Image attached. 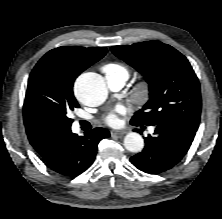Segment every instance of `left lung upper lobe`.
I'll use <instances>...</instances> for the list:
<instances>
[{
	"label": "left lung upper lobe",
	"mask_w": 222,
	"mask_h": 219,
	"mask_svg": "<svg viewBox=\"0 0 222 219\" xmlns=\"http://www.w3.org/2000/svg\"><path fill=\"white\" fill-rule=\"evenodd\" d=\"M111 51L139 71L149 84L150 99L135 113L131 123L174 122L197 131L201 114L200 84L184 55L156 40L113 46Z\"/></svg>",
	"instance_id": "5c2ea615"
}]
</instances>
